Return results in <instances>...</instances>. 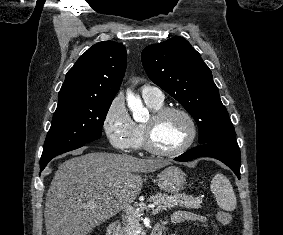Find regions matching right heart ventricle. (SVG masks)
Wrapping results in <instances>:
<instances>
[{
    "mask_svg": "<svg viewBox=\"0 0 283 235\" xmlns=\"http://www.w3.org/2000/svg\"><path fill=\"white\" fill-rule=\"evenodd\" d=\"M147 106L156 111L163 107V101L158 102L154 100L145 99ZM131 147L139 149L143 147V124L135 123V133Z\"/></svg>",
    "mask_w": 283,
    "mask_h": 235,
    "instance_id": "obj_1",
    "label": "right heart ventricle"
}]
</instances>
